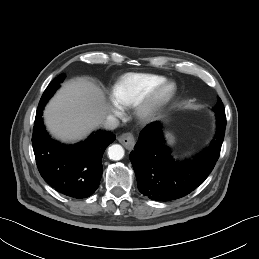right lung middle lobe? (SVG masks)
Segmentation results:
<instances>
[{
	"instance_id": "dd1d6c3e",
	"label": "right lung middle lobe",
	"mask_w": 259,
	"mask_h": 259,
	"mask_svg": "<svg viewBox=\"0 0 259 259\" xmlns=\"http://www.w3.org/2000/svg\"><path fill=\"white\" fill-rule=\"evenodd\" d=\"M64 77H65L64 74L58 76L57 78L52 80L49 86L46 88L38 104L37 113H36L37 115L42 113L43 108L45 107V104L53 96L55 91L60 87V83L63 82Z\"/></svg>"
}]
</instances>
